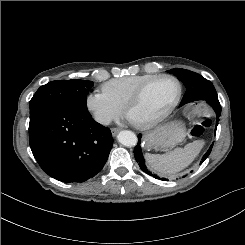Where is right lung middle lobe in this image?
<instances>
[{"label":"right lung middle lobe","instance_id":"obj_1","mask_svg":"<svg viewBox=\"0 0 245 245\" xmlns=\"http://www.w3.org/2000/svg\"><path fill=\"white\" fill-rule=\"evenodd\" d=\"M93 82L87 80H57L41 86L30 100V112L45 105L68 110L88 111L86 96Z\"/></svg>","mask_w":245,"mask_h":245}]
</instances>
